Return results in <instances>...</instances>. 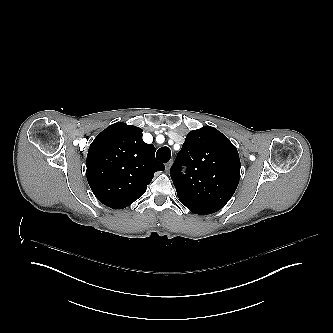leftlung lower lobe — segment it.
Listing matches in <instances>:
<instances>
[{
    "mask_svg": "<svg viewBox=\"0 0 333 333\" xmlns=\"http://www.w3.org/2000/svg\"><path fill=\"white\" fill-rule=\"evenodd\" d=\"M190 211L193 212V213H196L198 215H207V213L202 212V211H198V210H190Z\"/></svg>",
    "mask_w": 333,
    "mask_h": 333,
    "instance_id": "0a47b994",
    "label": "left lung lower lobe"
}]
</instances>
